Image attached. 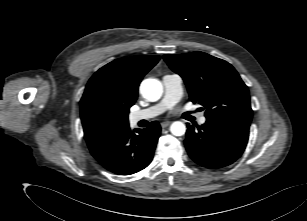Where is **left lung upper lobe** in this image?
Instances as JSON below:
<instances>
[{"label":"left lung upper lobe","mask_w":307,"mask_h":221,"mask_svg":"<svg viewBox=\"0 0 307 221\" xmlns=\"http://www.w3.org/2000/svg\"><path fill=\"white\" fill-rule=\"evenodd\" d=\"M163 57L183 78L190 101L205 108L207 120L231 119L251 123L248 88L228 62L200 51Z\"/></svg>","instance_id":"1"}]
</instances>
